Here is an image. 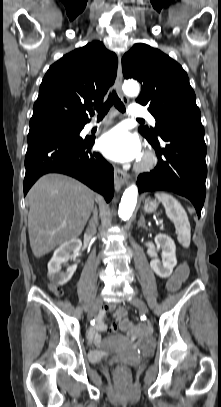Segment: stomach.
Returning a JSON list of instances; mask_svg holds the SVG:
<instances>
[{"instance_id": "stomach-1", "label": "stomach", "mask_w": 221, "mask_h": 407, "mask_svg": "<svg viewBox=\"0 0 221 407\" xmlns=\"http://www.w3.org/2000/svg\"><path fill=\"white\" fill-rule=\"evenodd\" d=\"M158 207V202L156 200L147 199L144 204V211L146 213L154 212Z\"/></svg>"}]
</instances>
